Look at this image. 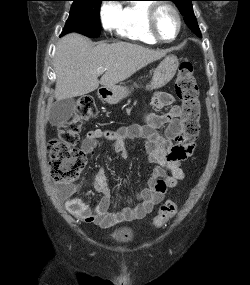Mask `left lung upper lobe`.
<instances>
[{
    "label": "left lung upper lobe",
    "mask_w": 250,
    "mask_h": 285,
    "mask_svg": "<svg viewBox=\"0 0 250 285\" xmlns=\"http://www.w3.org/2000/svg\"><path fill=\"white\" fill-rule=\"evenodd\" d=\"M174 1L176 6L179 8L181 14L184 16V20L187 26L194 32L197 36L201 37V32L199 30L197 20L194 16L192 1L194 0H171Z\"/></svg>",
    "instance_id": "5c2ea615"
}]
</instances>
